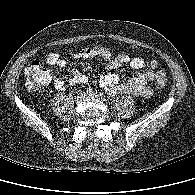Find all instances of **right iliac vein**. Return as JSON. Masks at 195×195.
<instances>
[{
    "label": "right iliac vein",
    "mask_w": 195,
    "mask_h": 195,
    "mask_svg": "<svg viewBox=\"0 0 195 195\" xmlns=\"http://www.w3.org/2000/svg\"><path fill=\"white\" fill-rule=\"evenodd\" d=\"M86 96H87V94H86L85 92H80V93L77 94L76 100H77L78 102H80V101H82Z\"/></svg>",
    "instance_id": "1"
}]
</instances>
